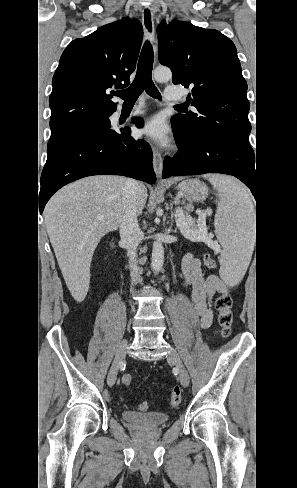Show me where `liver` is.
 <instances>
[{
    "label": "liver",
    "instance_id": "1",
    "mask_svg": "<svg viewBox=\"0 0 297 488\" xmlns=\"http://www.w3.org/2000/svg\"><path fill=\"white\" fill-rule=\"evenodd\" d=\"M122 176H91L59 190L48 201L45 223L65 283L82 302L90 283V264L101 238L116 230L123 214ZM147 189L139 184L137 215L142 213ZM102 216V219H98Z\"/></svg>",
    "mask_w": 297,
    "mask_h": 488
}]
</instances>
